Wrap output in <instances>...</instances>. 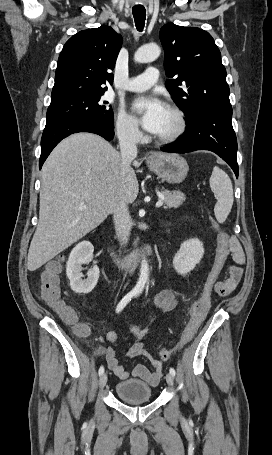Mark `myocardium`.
Instances as JSON below:
<instances>
[{
    "label": "myocardium",
    "mask_w": 272,
    "mask_h": 455,
    "mask_svg": "<svg viewBox=\"0 0 272 455\" xmlns=\"http://www.w3.org/2000/svg\"><path fill=\"white\" fill-rule=\"evenodd\" d=\"M167 109L173 114L175 118L174 129L165 135L155 136L157 142L161 144H168L178 140L185 132L187 127V121L185 114L181 108L174 104H168Z\"/></svg>",
    "instance_id": "f54148a6"
}]
</instances>
